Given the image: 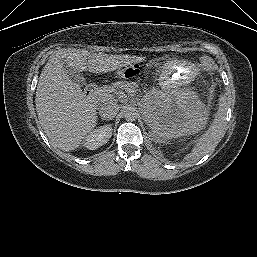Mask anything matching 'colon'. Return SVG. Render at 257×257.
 Wrapping results in <instances>:
<instances>
[{
    "label": "colon",
    "instance_id": "1",
    "mask_svg": "<svg viewBox=\"0 0 257 257\" xmlns=\"http://www.w3.org/2000/svg\"><path fill=\"white\" fill-rule=\"evenodd\" d=\"M201 64L205 70L209 72H214L216 70V65L213 60L208 56H203L201 58ZM139 68L137 66H132L117 72V76L123 79H132L139 75Z\"/></svg>",
    "mask_w": 257,
    "mask_h": 257
}]
</instances>
